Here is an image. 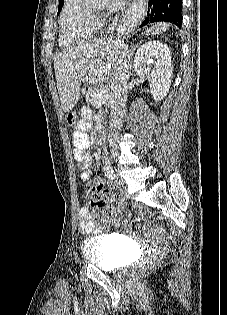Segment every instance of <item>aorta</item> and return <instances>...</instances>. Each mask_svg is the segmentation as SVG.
<instances>
[{
    "label": "aorta",
    "mask_w": 227,
    "mask_h": 315,
    "mask_svg": "<svg viewBox=\"0 0 227 315\" xmlns=\"http://www.w3.org/2000/svg\"><path fill=\"white\" fill-rule=\"evenodd\" d=\"M87 1H88V2H91V3H94V4H103L106 0H87ZM103 151H104V154H105L104 160L109 161V159H108V153H107V148L104 147ZM109 162H110V161H109Z\"/></svg>",
    "instance_id": "aorta-1"
}]
</instances>
